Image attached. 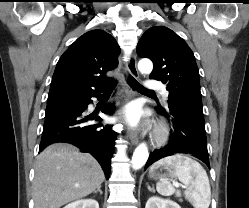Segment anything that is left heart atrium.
I'll list each match as a JSON object with an SVG mask.
<instances>
[{
	"label": "left heart atrium",
	"mask_w": 249,
	"mask_h": 208,
	"mask_svg": "<svg viewBox=\"0 0 249 208\" xmlns=\"http://www.w3.org/2000/svg\"><path fill=\"white\" fill-rule=\"evenodd\" d=\"M122 116L126 123L130 126H138L141 121V112L138 106L136 105H128L123 113Z\"/></svg>",
	"instance_id": "39dd6f15"
}]
</instances>
